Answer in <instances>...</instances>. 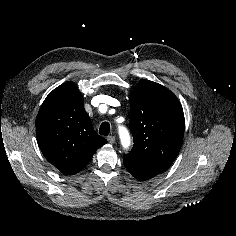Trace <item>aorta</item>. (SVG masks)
<instances>
[{
  "label": "aorta",
  "mask_w": 236,
  "mask_h": 236,
  "mask_svg": "<svg viewBox=\"0 0 236 236\" xmlns=\"http://www.w3.org/2000/svg\"><path fill=\"white\" fill-rule=\"evenodd\" d=\"M119 135H120L121 144H122L123 148L128 149L131 144L130 135H129L128 130L124 127H120L119 128Z\"/></svg>",
  "instance_id": "obj_1"
}]
</instances>
